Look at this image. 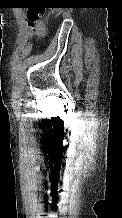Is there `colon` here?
I'll return each instance as SVG.
<instances>
[{
  "label": "colon",
  "instance_id": "obj_1",
  "mask_svg": "<svg viewBox=\"0 0 122 218\" xmlns=\"http://www.w3.org/2000/svg\"><path fill=\"white\" fill-rule=\"evenodd\" d=\"M43 15H44V11L41 9L29 10L28 16H27L29 25L32 28H34L36 25H38L41 30H44V27H42V23L40 22Z\"/></svg>",
  "mask_w": 122,
  "mask_h": 218
}]
</instances>
